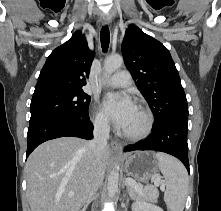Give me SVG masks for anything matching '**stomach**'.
Masks as SVG:
<instances>
[{
    "label": "stomach",
    "instance_id": "1",
    "mask_svg": "<svg viewBox=\"0 0 221 211\" xmlns=\"http://www.w3.org/2000/svg\"><path fill=\"white\" fill-rule=\"evenodd\" d=\"M158 169V160L155 153L151 151L136 152L125 160L126 173L141 181H148L158 172Z\"/></svg>",
    "mask_w": 221,
    "mask_h": 211
}]
</instances>
